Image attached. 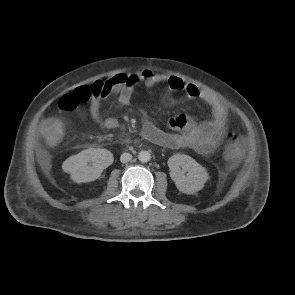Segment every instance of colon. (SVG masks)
<instances>
[{
  "instance_id": "colon-1",
  "label": "colon",
  "mask_w": 295,
  "mask_h": 295,
  "mask_svg": "<svg viewBox=\"0 0 295 295\" xmlns=\"http://www.w3.org/2000/svg\"><path fill=\"white\" fill-rule=\"evenodd\" d=\"M134 81L135 79L131 75L117 74L107 80L97 81L92 86H80L62 98L61 108L66 111L75 110L91 98L122 90L132 85ZM41 133L49 145H56L63 137V124L56 118L47 119L41 125ZM243 152L244 143L241 136L229 132L224 149L225 159L230 164H236L241 159Z\"/></svg>"
}]
</instances>
